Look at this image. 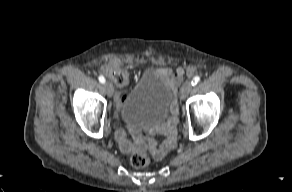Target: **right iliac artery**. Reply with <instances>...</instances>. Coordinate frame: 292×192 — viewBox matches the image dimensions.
<instances>
[{
  "instance_id": "obj_1",
  "label": "right iliac artery",
  "mask_w": 292,
  "mask_h": 192,
  "mask_svg": "<svg viewBox=\"0 0 292 192\" xmlns=\"http://www.w3.org/2000/svg\"><path fill=\"white\" fill-rule=\"evenodd\" d=\"M98 79L101 83H105V78L102 75H100Z\"/></svg>"
}]
</instances>
